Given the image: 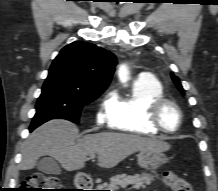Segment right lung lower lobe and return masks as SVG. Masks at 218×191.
<instances>
[{
  "instance_id": "1",
  "label": "right lung lower lobe",
  "mask_w": 218,
  "mask_h": 191,
  "mask_svg": "<svg viewBox=\"0 0 218 191\" xmlns=\"http://www.w3.org/2000/svg\"><path fill=\"white\" fill-rule=\"evenodd\" d=\"M34 129L30 127V131H33Z\"/></svg>"
}]
</instances>
